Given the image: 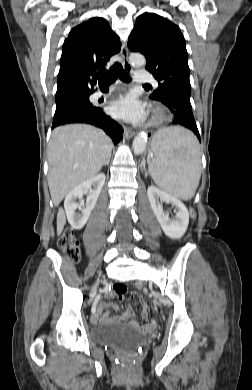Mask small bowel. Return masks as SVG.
I'll return each mask as SVG.
<instances>
[{
	"label": "small bowel",
	"mask_w": 252,
	"mask_h": 390,
	"mask_svg": "<svg viewBox=\"0 0 252 390\" xmlns=\"http://www.w3.org/2000/svg\"><path fill=\"white\" fill-rule=\"evenodd\" d=\"M116 294L113 290L107 293L108 297H112ZM117 295V294H116ZM120 300L124 299V295H117ZM139 302L141 304V312L140 317L141 320L138 321L134 316V311L131 306H127L126 311L122 315L111 316L110 310L118 311V306L116 304H106L100 303L97 307V312L95 316H92L91 319L93 322H116L127 324L131 328L139 330V331H147L151 327V321L149 320V308L146 302L142 297L139 298Z\"/></svg>",
	"instance_id": "obj_1"
}]
</instances>
